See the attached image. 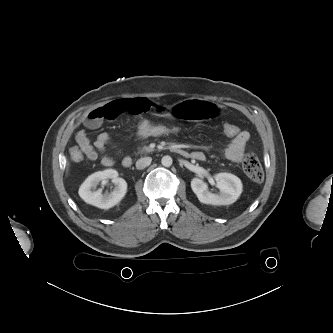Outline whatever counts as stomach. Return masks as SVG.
Instances as JSON below:
<instances>
[{
    "label": "stomach",
    "instance_id": "obj_1",
    "mask_svg": "<svg viewBox=\"0 0 333 333\" xmlns=\"http://www.w3.org/2000/svg\"><path fill=\"white\" fill-rule=\"evenodd\" d=\"M171 106V113L169 116H173L178 121L187 119H200V118H215L219 114V106L215 102H192L189 104L181 103L176 106ZM168 117V116H167Z\"/></svg>",
    "mask_w": 333,
    "mask_h": 333
}]
</instances>
